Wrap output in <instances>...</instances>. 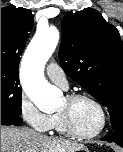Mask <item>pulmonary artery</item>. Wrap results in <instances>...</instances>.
Segmentation results:
<instances>
[{"label":"pulmonary artery","mask_w":123,"mask_h":152,"mask_svg":"<svg viewBox=\"0 0 123 152\" xmlns=\"http://www.w3.org/2000/svg\"><path fill=\"white\" fill-rule=\"evenodd\" d=\"M46 74L52 82L59 85L61 88H68L66 74L57 63L50 62L46 67Z\"/></svg>","instance_id":"obj_1"}]
</instances>
